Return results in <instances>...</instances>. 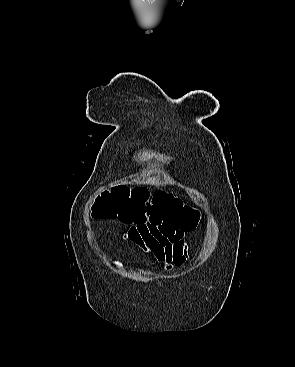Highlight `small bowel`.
I'll use <instances>...</instances> for the list:
<instances>
[{
	"label": "small bowel",
	"instance_id": "1",
	"mask_svg": "<svg viewBox=\"0 0 295 367\" xmlns=\"http://www.w3.org/2000/svg\"><path fill=\"white\" fill-rule=\"evenodd\" d=\"M124 239L139 247L151 263H160L166 270L185 264L188 246L185 231L167 221L128 223Z\"/></svg>",
	"mask_w": 295,
	"mask_h": 367
}]
</instances>
